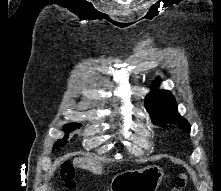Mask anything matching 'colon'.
<instances>
[{"mask_svg": "<svg viewBox=\"0 0 221 191\" xmlns=\"http://www.w3.org/2000/svg\"><path fill=\"white\" fill-rule=\"evenodd\" d=\"M60 179L64 184V187L68 191H75L77 184L75 181V171L71 163H64L60 171ZM186 186V178L180 176L177 180L175 187L171 191H183Z\"/></svg>", "mask_w": 221, "mask_h": 191, "instance_id": "5ec220e1", "label": "colon"}]
</instances>
